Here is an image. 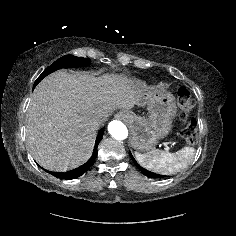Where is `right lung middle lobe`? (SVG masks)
<instances>
[{"mask_svg": "<svg viewBox=\"0 0 236 236\" xmlns=\"http://www.w3.org/2000/svg\"><path fill=\"white\" fill-rule=\"evenodd\" d=\"M90 64L88 58H79L73 55H65L58 60H56L52 65H50L35 81L33 88L47 75L60 69L67 67H82Z\"/></svg>", "mask_w": 236, "mask_h": 236, "instance_id": "right-lung-middle-lobe-1", "label": "right lung middle lobe"}]
</instances>
